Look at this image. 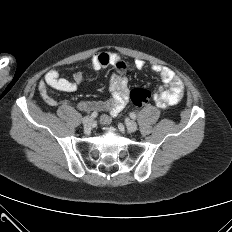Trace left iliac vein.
<instances>
[{"label": "left iliac vein", "instance_id": "1", "mask_svg": "<svg viewBox=\"0 0 232 232\" xmlns=\"http://www.w3.org/2000/svg\"><path fill=\"white\" fill-rule=\"evenodd\" d=\"M126 127H127V130L129 132H135L137 130V124L136 122L132 121V120H129L127 123H126Z\"/></svg>", "mask_w": 232, "mask_h": 232}]
</instances>
